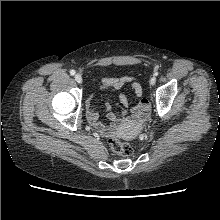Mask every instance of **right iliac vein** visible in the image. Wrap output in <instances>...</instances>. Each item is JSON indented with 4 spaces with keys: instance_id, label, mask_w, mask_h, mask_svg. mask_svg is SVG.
<instances>
[{
    "instance_id": "63e3f726",
    "label": "right iliac vein",
    "mask_w": 220,
    "mask_h": 220,
    "mask_svg": "<svg viewBox=\"0 0 220 220\" xmlns=\"http://www.w3.org/2000/svg\"><path fill=\"white\" fill-rule=\"evenodd\" d=\"M74 78H75V81L77 82V83H79V84H81L82 83V76L80 75V74H75V76H74Z\"/></svg>"
}]
</instances>
